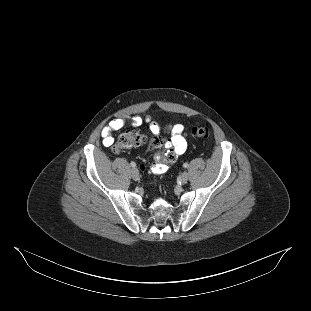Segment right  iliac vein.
<instances>
[{
  "instance_id": "63e3f726",
  "label": "right iliac vein",
  "mask_w": 311,
  "mask_h": 311,
  "mask_svg": "<svg viewBox=\"0 0 311 311\" xmlns=\"http://www.w3.org/2000/svg\"><path fill=\"white\" fill-rule=\"evenodd\" d=\"M131 177L135 181L139 180V172H138V170L136 168H133L131 170Z\"/></svg>"
}]
</instances>
